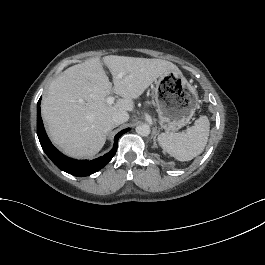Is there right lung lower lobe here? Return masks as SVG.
<instances>
[{
  "label": "right lung lower lobe",
  "instance_id": "98d812e1",
  "mask_svg": "<svg viewBox=\"0 0 265 265\" xmlns=\"http://www.w3.org/2000/svg\"><path fill=\"white\" fill-rule=\"evenodd\" d=\"M40 103L41 101L39 100L37 103V135L42 149L59 169L74 176H88L99 171L105 165H107L112 157L116 154L119 137L129 130V128L124 129L115 136L113 149L104 156L91 161L75 160L63 155L52 145L48 139L41 119Z\"/></svg>",
  "mask_w": 265,
  "mask_h": 265
}]
</instances>
